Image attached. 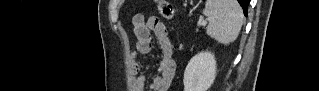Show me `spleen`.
I'll use <instances>...</instances> for the list:
<instances>
[{"instance_id": "3e777b00", "label": "spleen", "mask_w": 319, "mask_h": 91, "mask_svg": "<svg viewBox=\"0 0 319 91\" xmlns=\"http://www.w3.org/2000/svg\"><path fill=\"white\" fill-rule=\"evenodd\" d=\"M209 20L206 33L219 43L229 45L239 35L243 12L236 0H207L202 12Z\"/></svg>"}]
</instances>
